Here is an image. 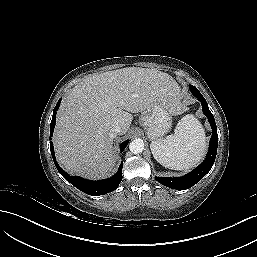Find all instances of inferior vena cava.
Instances as JSON below:
<instances>
[{"label":"inferior vena cava","instance_id":"obj_1","mask_svg":"<svg viewBox=\"0 0 257 257\" xmlns=\"http://www.w3.org/2000/svg\"><path fill=\"white\" fill-rule=\"evenodd\" d=\"M121 133V127L120 126H114L112 129H111V135L112 137H116L117 135H119Z\"/></svg>","mask_w":257,"mask_h":257}]
</instances>
